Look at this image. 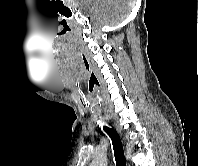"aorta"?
I'll list each match as a JSON object with an SVG mask.
<instances>
[{
  "mask_svg": "<svg viewBox=\"0 0 198 166\" xmlns=\"http://www.w3.org/2000/svg\"><path fill=\"white\" fill-rule=\"evenodd\" d=\"M90 166H107V159L103 156H100L93 160Z\"/></svg>",
  "mask_w": 198,
  "mask_h": 166,
  "instance_id": "obj_1",
  "label": "aorta"
}]
</instances>
